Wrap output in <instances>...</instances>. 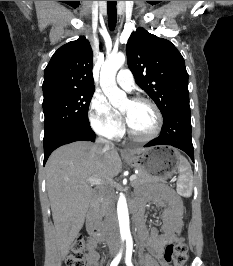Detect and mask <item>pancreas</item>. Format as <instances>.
I'll return each instance as SVG.
<instances>
[{"label":"pancreas","instance_id":"obj_1","mask_svg":"<svg viewBox=\"0 0 233 266\" xmlns=\"http://www.w3.org/2000/svg\"><path fill=\"white\" fill-rule=\"evenodd\" d=\"M159 178L147 173V172H144V171H140L137 175H136V179L134 181H132L131 185L133 187H139L141 185H144V184H149V183H152V182H155V181H158ZM101 207L103 208L104 207V203L102 202L101 204Z\"/></svg>","mask_w":233,"mask_h":266}]
</instances>
